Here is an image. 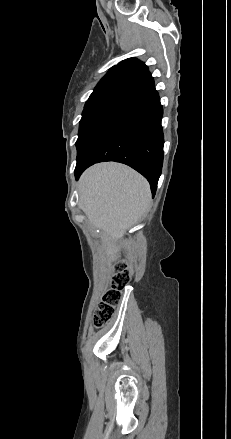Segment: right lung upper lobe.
Returning a JSON list of instances; mask_svg holds the SVG:
<instances>
[{
	"label": "right lung upper lobe",
	"instance_id": "obj_1",
	"mask_svg": "<svg viewBox=\"0 0 231 439\" xmlns=\"http://www.w3.org/2000/svg\"><path fill=\"white\" fill-rule=\"evenodd\" d=\"M153 85L148 67L135 58H129L108 71L86 103L113 96H136Z\"/></svg>",
	"mask_w": 231,
	"mask_h": 439
}]
</instances>
